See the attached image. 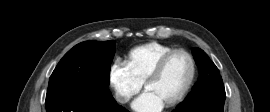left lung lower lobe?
<instances>
[{"label": "left lung lower lobe", "mask_w": 270, "mask_h": 112, "mask_svg": "<svg viewBox=\"0 0 270 112\" xmlns=\"http://www.w3.org/2000/svg\"><path fill=\"white\" fill-rule=\"evenodd\" d=\"M225 89L215 87L199 99L181 103L173 112H223Z\"/></svg>", "instance_id": "1"}]
</instances>
